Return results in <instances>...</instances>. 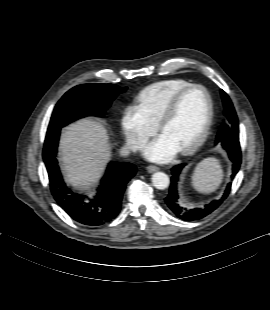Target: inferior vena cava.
Returning a JSON list of instances; mask_svg holds the SVG:
<instances>
[{"label":"inferior vena cava","mask_w":270,"mask_h":310,"mask_svg":"<svg viewBox=\"0 0 270 310\" xmlns=\"http://www.w3.org/2000/svg\"><path fill=\"white\" fill-rule=\"evenodd\" d=\"M143 148V144L142 143H133V142H128L126 143L125 146L122 147L121 149V155L126 156L129 154L130 151H137Z\"/></svg>","instance_id":"1"}]
</instances>
